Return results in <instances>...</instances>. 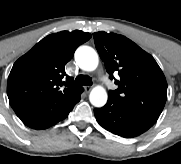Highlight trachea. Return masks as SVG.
<instances>
[{"mask_svg":"<svg viewBox=\"0 0 181 164\" xmlns=\"http://www.w3.org/2000/svg\"><path fill=\"white\" fill-rule=\"evenodd\" d=\"M75 85H92V78L87 75H78L74 81Z\"/></svg>","mask_w":181,"mask_h":164,"instance_id":"3493384b","label":"trachea"}]
</instances>
